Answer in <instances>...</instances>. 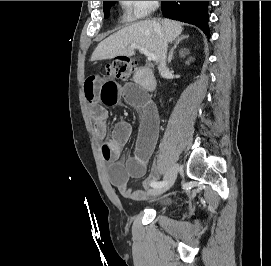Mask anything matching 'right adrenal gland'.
Instances as JSON below:
<instances>
[{
    "label": "right adrenal gland",
    "instance_id": "1",
    "mask_svg": "<svg viewBox=\"0 0 271 266\" xmlns=\"http://www.w3.org/2000/svg\"><path fill=\"white\" fill-rule=\"evenodd\" d=\"M188 35H183L179 38L176 39L174 46L171 48L170 52H169V56H168V63H171L172 59H173V52L176 49L177 45L184 39L188 38Z\"/></svg>",
    "mask_w": 271,
    "mask_h": 266
}]
</instances>
